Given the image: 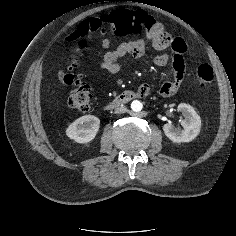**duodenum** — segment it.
<instances>
[{"label":"duodenum","instance_id":"410a0bca","mask_svg":"<svg viewBox=\"0 0 236 236\" xmlns=\"http://www.w3.org/2000/svg\"><path fill=\"white\" fill-rule=\"evenodd\" d=\"M137 97H141V94L138 91L124 90L108 103V107L110 108L120 107L122 105L129 103L130 101H132Z\"/></svg>","mask_w":236,"mask_h":236}]
</instances>
